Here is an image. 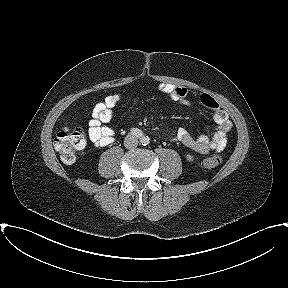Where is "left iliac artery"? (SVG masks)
<instances>
[{"label": "left iliac artery", "mask_w": 288, "mask_h": 288, "mask_svg": "<svg viewBox=\"0 0 288 288\" xmlns=\"http://www.w3.org/2000/svg\"><path fill=\"white\" fill-rule=\"evenodd\" d=\"M148 141V137H143L142 139H141V142H142V144L143 143H146ZM146 145V144H145Z\"/></svg>", "instance_id": "44dca946"}]
</instances>
